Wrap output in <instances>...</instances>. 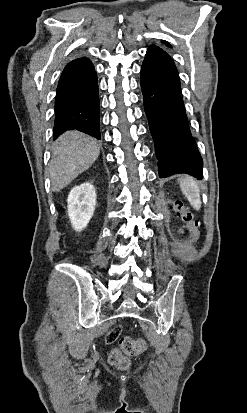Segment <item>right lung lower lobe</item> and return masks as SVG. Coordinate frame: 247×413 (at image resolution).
<instances>
[{
  "label": "right lung lower lobe",
  "instance_id": "obj_1",
  "mask_svg": "<svg viewBox=\"0 0 247 413\" xmlns=\"http://www.w3.org/2000/svg\"><path fill=\"white\" fill-rule=\"evenodd\" d=\"M74 129L100 139L97 76L88 59L68 63L57 86L54 140Z\"/></svg>",
  "mask_w": 247,
  "mask_h": 413
}]
</instances>
